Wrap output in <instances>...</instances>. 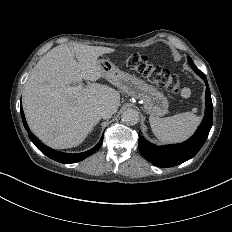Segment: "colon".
<instances>
[{
  "label": "colon",
  "mask_w": 232,
  "mask_h": 232,
  "mask_svg": "<svg viewBox=\"0 0 232 232\" xmlns=\"http://www.w3.org/2000/svg\"><path fill=\"white\" fill-rule=\"evenodd\" d=\"M146 61H149V56H139L136 52H130L126 56V70L149 78L152 86H161L164 91H173L179 97L188 95V86L179 81L176 74H165L164 66L147 64Z\"/></svg>",
  "instance_id": "obj_1"
}]
</instances>
